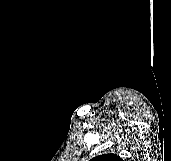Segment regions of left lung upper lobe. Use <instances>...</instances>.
<instances>
[{"label": "left lung upper lobe", "instance_id": "obj_1", "mask_svg": "<svg viewBox=\"0 0 171 161\" xmlns=\"http://www.w3.org/2000/svg\"><path fill=\"white\" fill-rule=\"evenodd\" d=\"M90 161H123L116 154H103L92 158Z\"/></svg>", "mask_w": 171, "mask_h": 161}]
</instances>
